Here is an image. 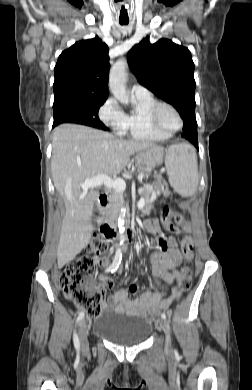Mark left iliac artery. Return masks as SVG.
<instances>
[{"label":"left iliac artery","mask_w":252,"mask_h":390,"mask_svg":"<svg viewBox=\"0 0 252 390\" xmlns=\"http://www.w3.org/2000/svg\"><path fill=\"white\" fill-rule=\"evenodd\" d=\"M161 318L166 319V314L165 313L161 314Z\"/></svg>","instance_id":"obj_1"}]
</instances>
